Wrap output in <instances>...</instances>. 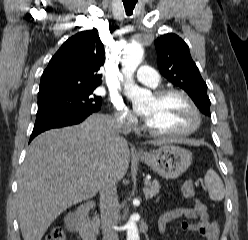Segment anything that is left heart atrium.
Segmentation results:
<instances>
[{
  "mask_svg": "<svg viewBox=\"0 0 248 240\" xmlns=\"http://www.w3.org/2000/svg\"><path fill=\"white\" fill-rule=\"evenodd\" d=\"M146 121L148 122V118L146 117Z\"/></svg>",
  "mask_w": 248,
  "mask_h": 240,
  "instance_id": "obj_1",
  "label": "left heart atrium"
}]
</instances>
